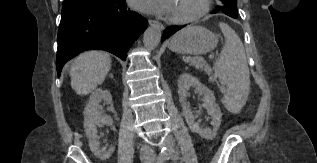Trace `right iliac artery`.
<instances>
[{"mask_svg":"<svg viewBox=\"0 0 317 163\" xmlns=\"http://www.w3.org/2000/svg\"><path fill=\"white\" fill-rule=\"evenodd\" d=\"M166 161V153H163V151H161V153L158 155L156 163H164Z\"/></svg>","mask_w":317,"mask_h":163,"instance_id":"82829eb1","label":"right iliac artery"}]
</instances>
